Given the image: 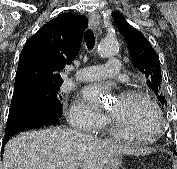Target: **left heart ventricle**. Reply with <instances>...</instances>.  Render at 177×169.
I'll use <instances>...</instances> for the list:
<instances>
[{
  "instance_id": "b2bd125f",
  "label": "left heart ventricle",
  "mask_w": 177,
  "mask_h": 169,
  "mask_svg": "<svg viewBox=\"0 0 177 169\" xmlns=\"http://www.w3.org/2000/svg\"><path fill=\"white\" fill-rule=\"evenodd\" d=\"M108 111L119 120L132 135H155L161 129V121L152 106L141 98L117 96Z\"/></svg>"
}]
</instances>
